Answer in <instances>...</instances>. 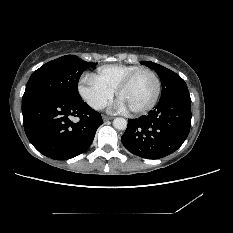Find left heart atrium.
<instances>
[{"mask_svg": "<svg viewBox=\"0 0 233 233\" xmlns=\"http://www.w3.org/2000/svg\"><path fill=\"white\" fill-rule=\"evenodd\" d=\"M114 108L118 109V110H124L126 108V106L124 105V103L120 99H118L114 105Z\"/></svg>", "mask_w": 233, "mask_h": 233, "instance_id": "39dd6f15", "label": "left heart atrium"}]
</instances>
